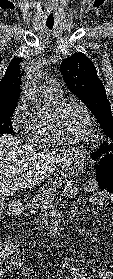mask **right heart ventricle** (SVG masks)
Masks as SVG:
<instances>
[{
    "instance_id": "e07e8e85",
    "label": "right heart ventricle",
    "mask_w": 113,
    "mask_h": 279,
    "mask_svg": "<svg viewBox=\"0 0 113 279\" xmlns=\"http://www.w3.org/2000/svg\"><path fill=\"white\" fill-rule=\"evenodd\" d=\"M47 98L53 104H56L58 98L47 94ZM30 142L37 145H47L55 142L50 128L48 126L47 118L43 116L34 117L33 130L29 136Z\"/></svg>"
}]
</instances>
